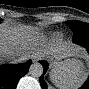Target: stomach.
<instances>
[{"label": "stomach", "instance_id": "obj_1", "mask_svg": "<svg viewBox=\"0 0 89 89\" xmlns=\"http://www.w3.org/2000/svg\"><path fill=\"white\" fill-rule=\"evenodd\" d=\"M51 61H52V66H53V67H55L56 65H58V64H60V63H62V62H64V61H61V60H59V59H52ZM59 61H60V62H59Z\"/></svg>", "mask_w": 89, "mask_h": 89}]
</instances>
